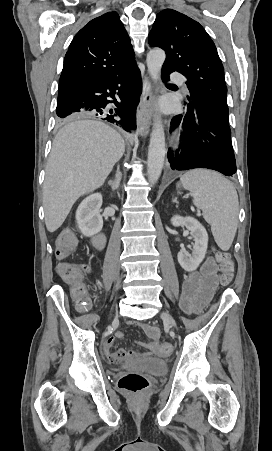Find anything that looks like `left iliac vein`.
Here are the masks:
<instances>
[{"label":"left iliac vein","mask_w":272,"mask_h":451,"mask_svg":"<svg viewBox=\"0 0 272 451\" xmlns=\"http://www.w3.org/2000/svg\"><path fill=\"white\" fill-rule=\"evenodd\" d=\"M162 319L169 325L175 327L176 326V322L173 319V317L168 313V312H163L162 313Z\"/></svg>","instance_id":"obj_1"}]
</instances>
